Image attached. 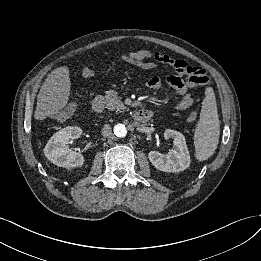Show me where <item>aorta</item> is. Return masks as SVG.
Segmentation results:
<instances>
[{
    "instance_id": "1",
    "label": "aorta",
    "mask_w": 261,
    "mask_h": 261,
    "mask_svg": "<svg viewBox=\"0 0 261 261\" xmlns=\"http://www.w3.org/2000/svg\"><path fill=\"white\" fill-rule=\"evenodd\" d=\"M114 134L117 136V137H125L127 135V129L125 127V125L123 124H116L114 126Z\"/></svg>"
}]
</instances>
